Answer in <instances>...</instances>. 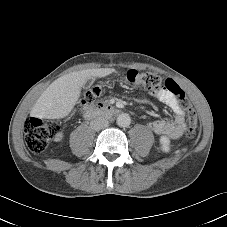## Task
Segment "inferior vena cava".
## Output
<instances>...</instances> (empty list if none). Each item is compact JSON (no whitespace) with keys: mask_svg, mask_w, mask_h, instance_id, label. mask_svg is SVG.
<instances>
[{"mask_svg":"<svg viewBox=\"0 0 227 227\" xmlns=\"http://www.w3.org/2000/svg\"><path fill=\"white\" fill-rule=\"evenodd\" d=\"M109 124V121L104 117H97L94 120L91 121L90 126L93 130H100L107 127Z\"/></svg>","mask_w":227,"mask_h":227,"instance_id":"inferior-vena-cava-1","label":"inferior vena cava"}]
</instances>
